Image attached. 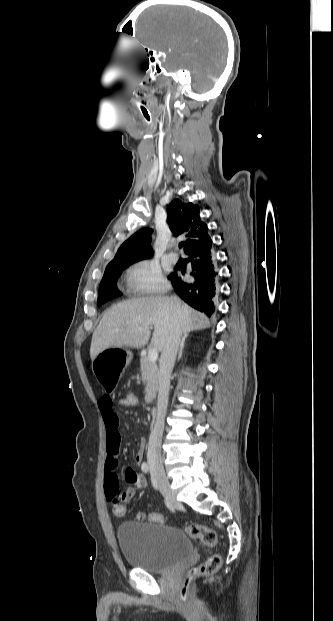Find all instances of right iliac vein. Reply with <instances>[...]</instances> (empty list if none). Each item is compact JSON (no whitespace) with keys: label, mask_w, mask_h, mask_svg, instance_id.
Masks as SVG:
<instances>
[{"label":"right iliac vein","mask_w":333,"mask_h":621,"mask_svg":"<svg viewBox=\"0 0 333 621\" xmlns=\"http://www.w3.org/2000/svg\"><path fill=\"white\" fill-rule=\"evenodd\" d=\"M152 473L160 487V489L162 490V492L165 494V496L171 500V501H175V496L173 491L170 488V483L168 478L165 475V472L162 468L159 467H153L152 468Z\"/></svg>","instance_id":"right-iliac-vein-1"}]
</instances>
